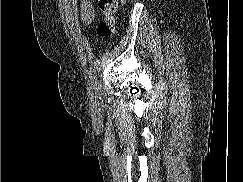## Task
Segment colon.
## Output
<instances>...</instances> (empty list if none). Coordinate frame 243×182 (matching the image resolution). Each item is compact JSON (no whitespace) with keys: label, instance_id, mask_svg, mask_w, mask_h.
Wrapping results in <instances>:
<instances>
[{"label":"colon","instance_id":"5ec220e1","mask_svg":"<svg viewBox=\"0 0 243 182\" xmlns=\"http://www.w3.org/2000/svg\"><path fill=\"white\" fill-rule=\"evenodd\" d=\"M125 0H98V8L104 20L97 26V36L101 42L108 41L115 31V13Z\"/></svg>","mask_w":243,"mask_h":182}]
</instances>
